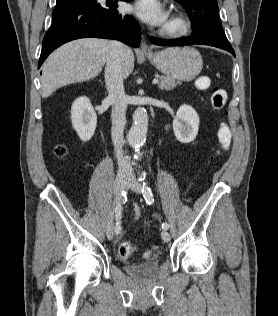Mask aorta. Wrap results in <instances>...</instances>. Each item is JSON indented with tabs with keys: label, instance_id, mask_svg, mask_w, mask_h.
Returning a JSON list of instances; mask_svg holds the SVG:
<instances>
[{
	"label": "aorta",
	"instance_id": "1",
	"mask_svg": "<svg viewBox=\"0 0 278 316\" xmlns=\"http://www.w3.org/2000/svg\"><path fill=\"white\" fill-rule=\"evenodd\" d=\"M148 130V114L145 108L138 107L133 113V125L128 133L127 139L132 148L135 149L137 157L140 155V148L146 141Z\"/></svg>",
	"mask_w": 278,
	"mask_h": 316
}]
</instances>
